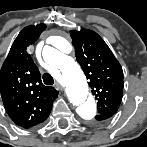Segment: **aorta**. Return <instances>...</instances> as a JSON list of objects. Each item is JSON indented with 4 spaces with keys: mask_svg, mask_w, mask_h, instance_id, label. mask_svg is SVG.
<instances>
[{
    "mask_svg": "<svg viewBox=\"0 0 147 147\" xmlns=\"http://www.w3.org/2000/svg\"><path fill=\"white\" fill-rule=\"evenodd\" d=\"M43 58L45 62L60 70L68 98L78 107L81 116L91 118L95 113V103L88 97L86 77L77 62L50 46L43 49Z\"/></svg>",
    "mask_w": 147,
    "mask_h": 147,
    "instance_id": "1",
    "label": "aorta"
}]
</instances>
